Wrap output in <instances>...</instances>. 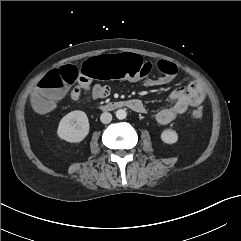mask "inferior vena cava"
Wrapping results in <instances>:
<instances>
[{"instance_id":"obj_1","label":"inferior vena cava","mask_w":241,"mask_h":241,"mask_svg":"<svg viewBox=\"0 0 241 241\" xmlns=\"http://www.w3.org/2000/svg\"><path fill=\"white\" fill-rule=\"evenodd\" d=\"M100 120L103 124H108L112 120V115L109 112H104L101 114Z\"/></svg>"}]
</instances>
